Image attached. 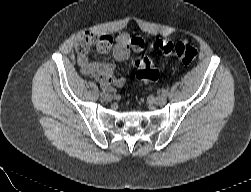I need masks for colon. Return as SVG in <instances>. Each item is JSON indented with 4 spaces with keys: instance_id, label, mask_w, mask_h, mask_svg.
I'll return each instance as SVG.
<instances>
[{
    "instance_id": "5ec220e1",
    "label": "colon",
    "mask_w": 251,
    "mask_h": 192,
    "mask_svg": "<svg viewBox=\"0 0 251 192\" xmlns=\"http://www.w3.org/2000/svg\"><path fill=\"white\" fill-rule=\"evenodd\" d=\"M153 48L165 55L176 56L183 64H191L197 57L195 47L184 42H171L164 38H157ZM136 77L144 83L155 82L159 78V71L152 60L146 56H140L133 62Z\"/></svg>"
}]
</instances>
